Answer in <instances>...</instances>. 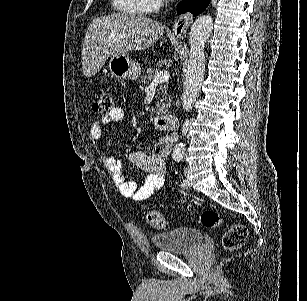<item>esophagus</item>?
<instances>
[{
    "mask_svg": "<svg viewBox=\"0 0 307 301\" xmlns=\"http://www.w3.org/2000/svg\"><path fill=\"white\" fill-rule=\"evenodd\" d=\"M192 19L193 16L191 13H185L184 15H182V17H180L173 25V35H175V37L179 39L183 38L192 22Z\"/></svg>",
    "mask_w": 307,
    "mask_h": 301,
    "instance_id": "34e87169",
    "label": "esophagus"
}]
</instances>
